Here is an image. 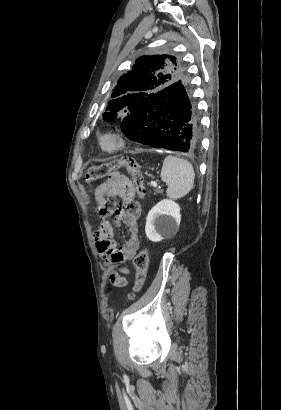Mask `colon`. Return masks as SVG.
Instances as JSON below:
<instances>
[{
	"label": "colon",
	"mask_w": 281,
	"mask_h": 410,
	"mask_svg": "<svg viewBox=\"0 0 281 410\" xmlns=\"http://www.w3.org/2000/svg\"><path fill=\"white\" fill-rule=\"evenodd\" d=\"M120 168H126L129 171L136 193L140 197H143L145 195L143 176L138 170L135 162L130 158H120L108 163L92 166L88 169L85 175V179L87 182L102 180L110 176ZM108 205L109 207L115 209H127L131 214H138L140 210L137 202L133 201L127 196L119 194L111 196L108 200ZM148 264V252L145 249L141 250L134 259V265L136 268V281L130 294V299H133L143 288L147 277Z\"/></svg>",
	"instance_id": "5ec220e1"
}]
</instances>
